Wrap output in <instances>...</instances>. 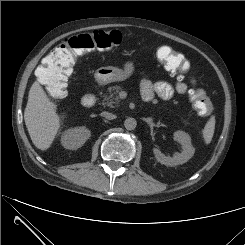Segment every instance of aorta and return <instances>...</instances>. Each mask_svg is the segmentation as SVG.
Here are the masks:
<instances>
[{"label": "aorta", "mask_w": 245, "mask_h": 245, "mask_svg": "<svg viewBox=\"0 0 245 245\" xmlns=\"http://www.w3.org/2000/svg\"><path fill=\"white\" fill-rule=\"evenodd\" d=\"M136 126H137V121L134 118L129 117L124 122V127L127 130H134Z\"/></svg>", "instance_id": "1"}]
</instances>
